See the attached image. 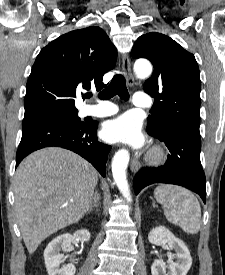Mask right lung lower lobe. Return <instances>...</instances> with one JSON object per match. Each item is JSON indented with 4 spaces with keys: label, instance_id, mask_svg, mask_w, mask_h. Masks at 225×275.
Segmentation results:
<instances>
[{
    "label": "right lung lower lobe",
    "instance_id": "98d812e1",
    "mask_svg": "<svg viewBox=\"0 0 225 275\" xmlns=\"http://www.w3.org/2000/svg\"><path fill=\"white\" fill-rule=\"evenodd\" d=\"M96 131L97 123L76 126L50 116L24 118L16 166L33 151L57 146L79 154L105 177V164L111 146L100 143Z\"/></svg>",
    "mask_w": 225,
    "mask_h": 275
}]
</instances>
